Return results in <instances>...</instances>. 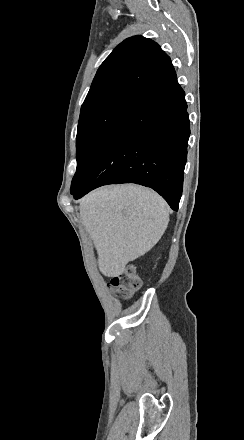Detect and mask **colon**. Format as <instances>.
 <instances>
[{"label":"colon","mask_w":244,"mask_h":440,"mask_svg":"<svg viewBox=\"0 0 244 440\" xmlns=\"http://www.w3.org/2000/svg\"><path fill=\"white\" fill-rule=\"evenodd\" d=\"M141 284V277L131 265L119 274L113 275L107 281V286L124 297H128L136 291Z\"/></svg>","instance_id":"1"}]
</instances>
